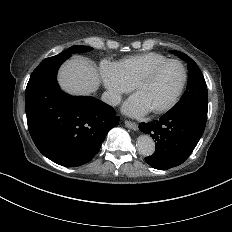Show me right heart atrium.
Masks as SVG:
<instances>
[{
    "mask_svg": "<svg viewBox=\"0 0 232 232\" xmlns=\"http://www.w3.org/2000/svg\"><path fill=\"white\" fill-rule=\"evenodd\" d=\"M98 70L102 76V83L106 89L108 99L113 102L123 93L129 91L128 86L119 73L118 64L108 59H103L98 65Z\"/></svg>",
    "mask_w": 232,
    "mask_h": 232,
    "instance_id": "right-heart-atrium-1",
    "label": "right heart atrium"
}]
</instances>
